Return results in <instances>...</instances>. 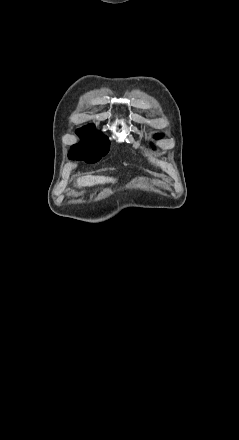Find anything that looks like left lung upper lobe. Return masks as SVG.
I'll use <instances>...</instances> for the list:
<instances>
[{"label": "left lung upper lobe", "instance_id": "1", "mask_svg": "<svg viewBox=\"0 0 239 440\" xmlns=\"http://www.w3.org/2000/svg\"><path fill=\"white\" fill-rule=\"evenodd\" d=\"M163 135L162 134H156L154 137L155 138H161Z\"/></svg>", "mask_w": 239, "mask_h": 440}]
</instances>
